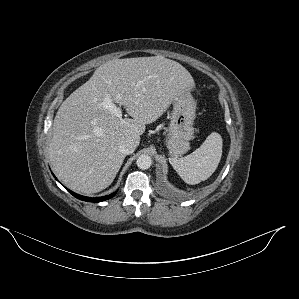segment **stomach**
I'll return each mask as SVG.
<instances>
[{
    "label": "stomach",
    "mask_w": 299,
    "mask_h": 299,
    "mask_svg": "<svg viewBox=\"0 0 299 299\" xmlns=\"http://www.w3.org/2000/svg\"><path fill=\"white\" fill-rule=\"evenodd\" d=\"M195 117L196 101L190 91L177 96L173 101L172 117L165 139L169 155L178 157L190 149L189 141L194 138Z\"/></svg>",
    "instance_id": "1"
}]
</instances>
